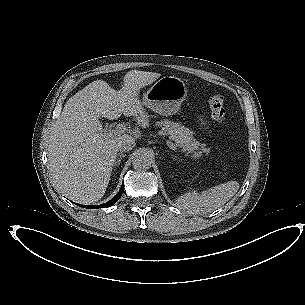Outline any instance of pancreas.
<instances>
[{
  "instance_id": "1",
  "label": "pancreas",
  "mask_w": 305,
  "mask_h": 305,
  "mask_svg": "<svg viewBox=\"0 0 305 305\" xmlns=\"http://www.w3.org/2000/svg\"><path fill=\"white\" fill-rule=\"evenodd\" d=\"M161 127L178 148L187 154H192V157L200 159L203 153H208V150L194 139L193 132L189 128L171 121L163 122Z\"/></svg>"
}]
</instances>
